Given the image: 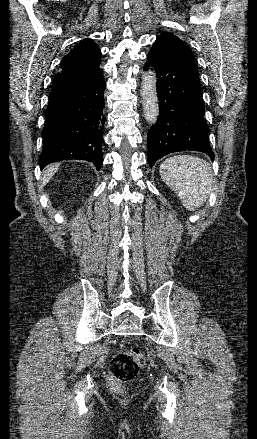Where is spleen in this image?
Here are the masks:
<instances>
[{"mask_svg": "<svg viewBox=\"0 0 257 439\" xmlns=\"http://www.w3.org/2000/svg\"><path fill=\"white\" fill-rule=\"evenodd\" d=\"M159 172L162 180L189 211H195L204 203L214 180L208 162L190 155H177L166 159Z\"/></svg>", "mask_w": 257, "mask_h": 439, "instance_id": "1", "label": "spleen"}]
</instances>
